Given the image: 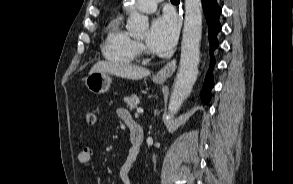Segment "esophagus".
<instances>
[{
	"label": "esophagus",
	"mask_w": 293,
	"mask_h": 184,
	"mask_svg": "<svg viewBox=\"0 0 293 184\" xmlns=\"http://www.w3.org/2000/svg\"><path fill=\"white\" fill-rule=\"evenodd\" d=\"M177 60L174 58L169 63H167L161 70L156 74V79L166 80L172 76L176 69Z\"/></svg>",
	"instance_id": "esophagus-1"
}]
</instances>
